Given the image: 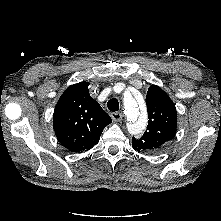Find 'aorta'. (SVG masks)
<instances>
[{
  "label": "aorta",
  "mask_w": 221,
  "mask_h": 221,
  "mask_svg": "<svg viewBox=\"0 0 221 221\" xmlns=\"http://www.w3.org/2000/svg\"><path fill=\"white\" fill-rule=\"evenodd\" d=\"M124 114L131 134H139L147 122L146 109L131 94L123 96Z\"/></svg>",
  "instance_id": "762f6f07"
}]
</instances>
